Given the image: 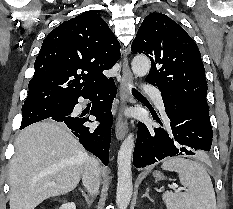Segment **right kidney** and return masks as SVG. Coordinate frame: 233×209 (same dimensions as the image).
I'll return each instance as SVG.
<instances>
[{
	"mask_svg": "<svg viewBox=\"0 0 233 209\" xmlns=\"http://www.w3.org/2000/svg\"><path fill=\"white\" fill-rule=\"evenodd\" d=\"M59 209H76V205L74 203H66L63 204Z\"/></svg>",
	"mask_w": 233,
	"mask_h": 209,
	"instance_id": "ca27d5eb",
	"label": "right kidney"
}]
</instances>
